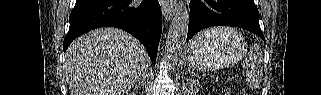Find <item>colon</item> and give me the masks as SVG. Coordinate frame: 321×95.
I'll return each mask as SVG.
<instances>
[{"instance_id":"obj_1","label":"colon","mask_w":321,"mask_h":95,"mask_svg":"<svg viewBox=\"0 0 321 95\" xmlns=\"http://www.w3.org/2000/svg\"><path fill=\"white\" fill-rule=\"evenodd\" d=\"M221 95H234V92L230 89H223Z\"/></svg>"}]
</instances>
